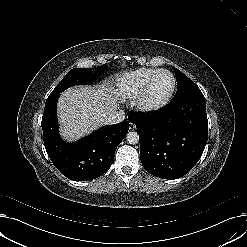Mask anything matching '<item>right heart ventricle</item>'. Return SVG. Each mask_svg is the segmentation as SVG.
Listing matches in <instances>:
<instances>
[{"mask_svg":"<svg viewBox=\"0 0 247 247\" xmlns=\"http://www.w3.org/2000/svg\"><path fill=\"white\" fill-rule=\"evenodd\" d=\"M157 70L154 68H139L123 74L117 80V94L123 100L135 99Z\"/></svg>","mask_w":247,"mask_h":247,"instance_id":"right-heart-ventricle-1","label":"right heart ventricle"}]
</instances>
